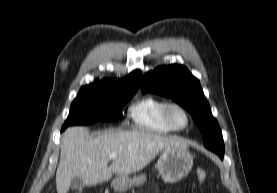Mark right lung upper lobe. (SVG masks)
Returning a JSON list of instances; mask_svg holds the SVG:
<instances>
[{
	"label": "right lung upper lobe",
	"instance_id": "obj_1",
	"mask_svg": "<svg viewBox=\"0 0 277 193\" xmlns=\"http://www.w3.org/2000/svg\"><path fill=\"white\" fill-rule=\"evenodd\" d=\"M141 80V72L136 70L124 79H103L95 81L93 84L84 86L81 90H90L104 93H126L136 92Z\"/></svg>",
	"mask_w": 277,
	"mask_h": 193
}]
</instances>
